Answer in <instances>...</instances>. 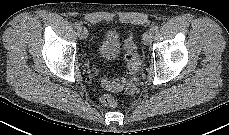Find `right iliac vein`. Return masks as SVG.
Returning a JSON list of instances; mask_svg holds the SVG:
<instances>
[{"label":"right iliac vein","mask_w":229,"mask_h":135,"mask_svg":"<svg viewBox=\"0 0 229 135\" xmlns=\"http://www.w3.org/2000/svg\"><path fill=\"white\" fill-rule=\"evenodd\" d=\"M78 34L80 39H86L88 37V30L82 27L78 30Z\"/></svg>","instance_id":"obj_1"}]
</instances>
